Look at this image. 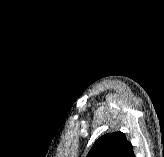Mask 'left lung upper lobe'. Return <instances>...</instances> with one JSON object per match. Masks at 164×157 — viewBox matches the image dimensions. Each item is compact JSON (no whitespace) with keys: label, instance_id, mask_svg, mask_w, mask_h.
Instances as JSON below:
<instances>
[{"label":"left lung upper lobe","instance_id":"5c2ea615","mask_svg":"<svg viewBox=\"0 0 164 157\" xmlns=\"http://www.w3.org/2000/svg\"><path fill=\"white\" fill-rule=\"evenodd\" d=\"M131 152L132 144L119 131L101 136L94 143L87 157H129Z\"/></svg>","mask_w":164,"mask_h":157}]
</instances>
